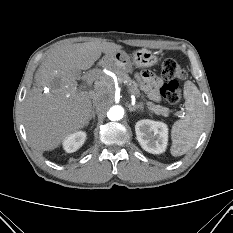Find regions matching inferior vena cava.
Returning <instances> with one entry per match:
<instances>
[{
  "label": "inferior vena cava",
  "mask_w": 233,
  "mask_h": 233,
  "mask_svg": "<svg viewBox=\"0 0 233 233\" xmlns=\"http://www.w3.org/2000/svg\"><path fill=\"white\" fill-rule=\"evenodd\" d=\"M100 86H101V83L100 82H97L96 83V88L98 90V92H90V96L92 98V100L95 102L96 99H97V96L100 95L102 93V91L100 90Z\"/></svg>",
  "instance_id": "obj_1"
}]
</instances>
